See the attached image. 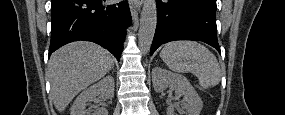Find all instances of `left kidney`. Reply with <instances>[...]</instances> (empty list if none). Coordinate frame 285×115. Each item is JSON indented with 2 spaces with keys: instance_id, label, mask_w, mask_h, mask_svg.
Segmentation results:
<instances>
[{
  "instance_id": "5707ae66",
  "label": "left kidney",
  "mask_w": 285,
  "mask_h": 115,
  "mask_svg": "<svg viewBox=\"0 0 285 115\" xmlns=\"http://www.w3.org/2000/svg\"><path fill=\"white\" fill-rule=\"evenodd\" d=\"M152 82L156 92H163L172 86L176 94L184 96L183 108L186 115L200 114L203 102L185 76L156 67L152 70ZM167 115H175L173 107L167 109Z\"/></svg>"
}]
</instances>
